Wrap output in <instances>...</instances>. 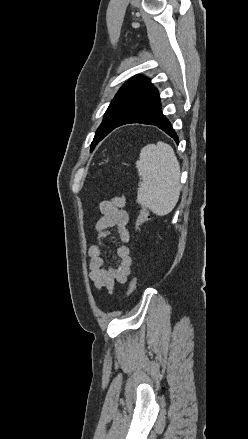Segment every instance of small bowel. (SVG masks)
Here are the masks:
<instances>
[{
	"instance_id": "small-bowel-1",
	"label": "small bowel",
	"mask_w": 248,
	"mask_h": 439,
	"mask_svg": "<svg viewBox=\"0 0 248 439\" xmlns=\"http://www.w3.org/2000/svg\"><path fill=\"white\" fill-rule=\"evenodd\" d=\"M126 199L124 196L114 197L111 200L101 201L99 210L102 216L95 224L96 238L98 243L88 249L89 279L99 291L106 290L113 294L117 284H124L131 273L132 257L126 246L131 239V233L127 227L129 215L125 210ZM110 229L117 234L115 242V256L117 267L106 268L102 257V249L107 241L113 239Z\"/></svg>"
}]
</instances>
